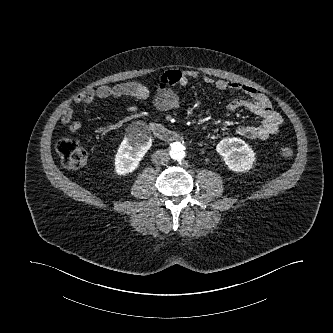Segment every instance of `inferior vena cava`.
Returning <instances> with one entry per match:
<instances>
[{
	"label": "inferior vena cava",
	"instance_id": "obj_1",
	"mask_svg": "<svg viewBox=\"0 0 333 333\" xmlns=\"http://www.w3.org/2000/svg\"><path fill=\"white\" fill-rule=\"evenodd\" d=\"M169 154L164 150L155 152L152 156V160L155 164L163 165L169 161Z\"/></svg>",
	"mask_w": 333,
	"mask_h": 333
}]
</instances>
